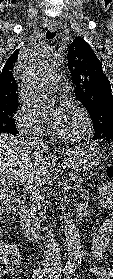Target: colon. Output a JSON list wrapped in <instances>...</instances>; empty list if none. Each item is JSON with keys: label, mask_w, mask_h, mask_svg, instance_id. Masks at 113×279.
<instances>
[{"label": "colon", "mask_w": 113, "mask_h": 279, "mask_svg": "<svg viewBox=\"0 0 113 279\" xmlns=\"http://www.w3.org/2000/svg\"><path fill=\"white\" fill-rule=\"evenodd\" d=\"M108 183L107 189H113V168L107 170ZM17 253L8 251L7 246L0 245V276H2L6 270V266L9 262H16Z\"/></svg>", "instance_id": "1"}]
</instances>
